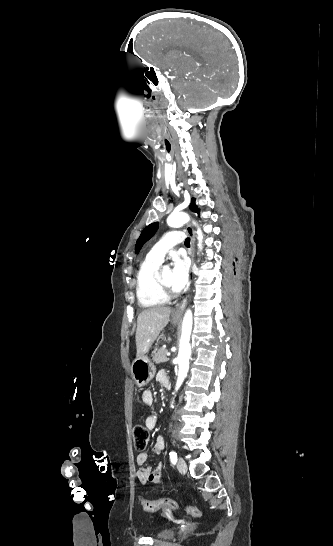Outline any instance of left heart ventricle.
<instances>
[{
	"mask_svg": "<svg viewBox=\"0 0 333 546\" xmlns=\"http://www.w3.org/2000/svg\"><path fill=\"white\" fill-rule=\"evenodd\" d=\"M162 282L168 286L169 288H172V275L169 271L162 272L161 275Z\"/></svg>",
	"mask_w": 333,
	"mask_h": 546,
	"instance_id": "b2bd125f",
	"label": "left heart ventricle"
}]
</instances>
